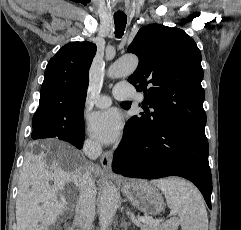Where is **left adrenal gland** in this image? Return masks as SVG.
Instances as JSON below:
<instances>
[{"label":"left adrenal gland","instance_id":"a2214340","mask_svg":"<svg viewBox=\"0 0 241 230\" xmlns=\"http://www.w3.org/2000/svg\"><path fill=\"white\" fill-rule=\"evenodd\" d=\"M131 214V212H130V210L128 209L127 210V215L129 216ZM131 221L133 222V223H135V220L131 217Z\"/></svg>","mask_w":241,"mask_h":230}]
</instances>
